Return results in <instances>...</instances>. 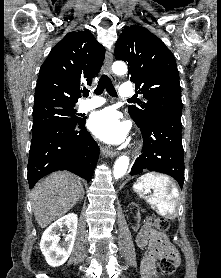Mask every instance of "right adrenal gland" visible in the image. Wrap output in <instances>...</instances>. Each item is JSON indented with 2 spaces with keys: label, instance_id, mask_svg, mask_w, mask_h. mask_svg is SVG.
I'll return each instance as SVG.
<instances>
[{
  "label": "right adrenal gland",
  "instance_id": "right-adrenal-gland-1",
  "mask_svg": "<svg viewBox=\"0 0 221 278\" xmlns=\"http://www.w3.org/2000/svg\"><path fill=\"white\" fill-rule=\"evenodd\" d=\"M83 198H84V191H83V193H82V195L80 197V200H82Z\"/></svg>",
  "mask_w": 221,
  "mask_h": 278
}]
</instances>
